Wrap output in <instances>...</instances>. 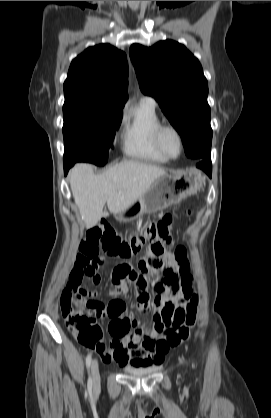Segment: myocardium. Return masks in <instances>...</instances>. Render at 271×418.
Here are the masks:
<instances>
[{
	"instance_id": "obj_1",
	"label": "myocardium",
	"mask_w": 271,
	"mask_h": 418,
	"mask_svg": "<svg viewBox=\"0 0 271 418\" xmlns=\"http://www.w3.org/2000/svg\"><path fill=\"white\" fill-rule=\"evenodd\" d=\"M168 131L169 132H172L176 136V138H177V141H178V152H177L176 155H170V154H168L166 152V150L164 149V147H163V144H162V136H163V134L165 132H168ZM154 143H155V146H156L157 150L166 159H168V160L178 158L181 155L182 150H183V138H182V135H181L180 131L174 125H171V124H160L156 128V130L154 132Z\"/></svg>"
}]
</instances>
